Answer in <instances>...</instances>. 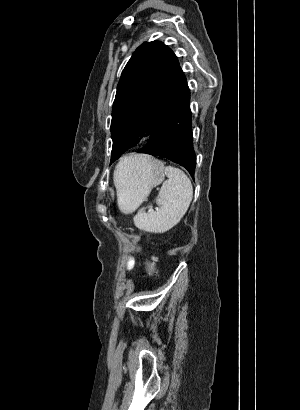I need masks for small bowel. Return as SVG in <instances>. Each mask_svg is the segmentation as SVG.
Segmentation results:
<instances>
[{
    "instance_id": "obj_1",
    "label": "small bowel",
    "mask_w": 300,
    "mask_h": 410,
    "mask_svg": "<svg viewBox=\"0 0 300 410\" xmlns=\"http://www.w3.org/2000/svg\"><path fill=\"white\" fill-rule=\"evenodd\" d=\"M134 265H135L134 259L131 256L128 257L127 262H126V271L131 272L134 268Z\"/></svg>"
}]
</instances>
